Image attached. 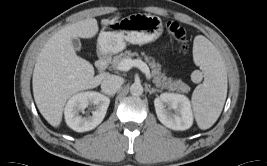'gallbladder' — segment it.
I'll list each match as a JSON object with an SVG mask.
<instances>
[{"instance_id":"bac80fb5","label":"gallbladder","mask_w":267,"mask_h":166,"mask_svg":"<svg viewBox=\"0 0 267 166\" xmlns=\"http://www.w3.org/2000/svg\"><path fill=\"white\" fill-rule=\"evenodd\" d=\"M72 42V46L76 51H80L81 50V42L78 38H73L71 40Z\"/></svg>"}]
</instances>
